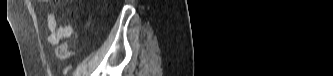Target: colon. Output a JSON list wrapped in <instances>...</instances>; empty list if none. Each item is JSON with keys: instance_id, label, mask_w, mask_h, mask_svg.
<instances>
[{"instance_id": "colon-1", "label": "colon", "mask_w": 333, "mask_h": 76, "mask_svg": "<svg viewBox=\"0 0 333 76\" xmlns=\"http://www.w3.org/2000/svg\"><path fill=\"white\" fill-rule=\"evenodd\" d=\"M56 55L60 59H67L71 55V50L69 48V45L67 43H64L57 47L56 49Z\"/></svg>"}]
</instances>
